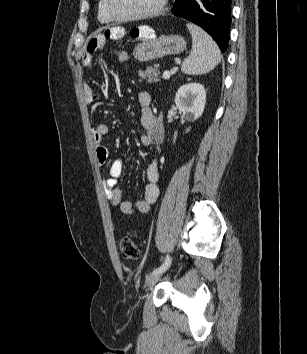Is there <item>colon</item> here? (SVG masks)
<instances>
[{"mask_svg": "<svg viewBox=\"0 0 307 354\" xmlns=\"http://www.w3.org/2000/svg\"><path fill=\"white\" fill-rule=\"evenodd\" d=\"M115 56L119 62H125L128 54L125 51H116ZM120 250L122 256L126 259L135 260L139 256V251L134 241L129 237H123L120 241Z\"/></svg>", "mask_w": 307, "mask_h": 354, "instance_id": "colon-1", "label": "colon"}]
</instances>
